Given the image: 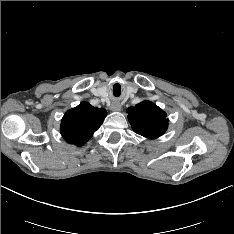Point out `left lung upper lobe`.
I'll use <instances>...</instances> for the list:
<instances>
[{
    "label": "left lung upper lobe",
    "instance_id": "5c2ea615",
    "mask_svg": "<svg viewBox=\"0 0 234 234\" xmlns=\"http://www.w3.org/2000/svg\"><path fill=\"white\" fill-rule=\"evenodd\" d=\"M133 130L146 138L156 139L163 135L168 127L166 113L150 101H143L127 109Z\"/></svg>",
    "mask_w": 234,
    "mask_h": 234
}]
</instances>
